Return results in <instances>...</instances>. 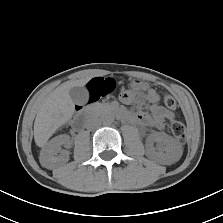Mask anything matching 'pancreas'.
Segmentation results:
<instances>
[{
    "instance_id": "pancreas-1",
    "label": "pancreas",
    "mask_w": 223,
    "mask_h": 223,
    "mask_svg": "<svg viewBox=\"0 0 223 223\" xmlns=\"http://www.w3.org/2000/svg\"><path fill=\"white\" fill-rule=\"evenodd\" d=\"M106 107H108V105H107V104H102V103H97V104L95 105V109H96V110H102V109H104V108H106Z\"/></svg>"
}]
</instances>
